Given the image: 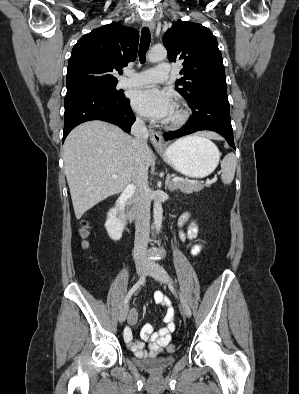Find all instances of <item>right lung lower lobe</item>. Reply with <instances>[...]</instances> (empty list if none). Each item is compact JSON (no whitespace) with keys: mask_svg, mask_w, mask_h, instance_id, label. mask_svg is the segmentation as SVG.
Listing matches in <instances>:
<instances>
[{"mask_svg":"<svg viewBox=\"0 0 299 394\" xmlns=\"http://www.w3.org/2000/svg\"><path fill=\"white\" fill-rule=\"evenodd\" d=\"M64 107L63 140L74 127L86 121H106L119 126L125 132H130L135 121L129 99L123 94H121V97H115L106 90L79 89L67 91Z\"/></svg>","mask_w":299,"mask_h":394,"instance_id":"98d812e1","label":"right lung lower lobe"}]
</instances>
